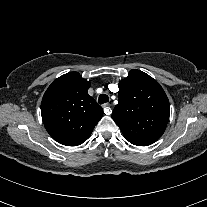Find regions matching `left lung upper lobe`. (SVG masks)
<instances>
[{
  "instance_id": "obj_1",
  "label": "left lung upper lobe",
  "mask_w": 207,
  "mask_h": 207,
  "mask_svg": "<svg viewBox=\"0 0 207 207\" xmlns=\"http://www.w3.org/2000/svg\"><path fill=\"white\" fill-rule=\"evenodd\" d=\"M169 115L164 90L148 74L133 69L119 82V102L112 118L130 143L144 146L157 141L165 131Z\"/></svg>"
}]
</instances>
